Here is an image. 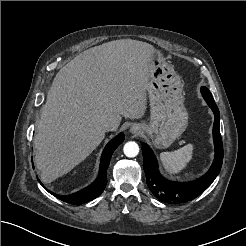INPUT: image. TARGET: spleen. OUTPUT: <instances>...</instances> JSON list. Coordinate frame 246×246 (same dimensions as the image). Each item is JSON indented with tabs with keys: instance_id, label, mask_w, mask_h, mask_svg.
Instances as JSON below:
<instances>
[{
	"instance_id": "obj_1",
	"label": "spleen",
	"mask_w": 246,
	"mask_h": 246,
	"mask_svg": "<svg viewBox=\"0 0 246 246\" xmlns=\"http://www.w3.org/2000/svg\"><path fill=\"white\" fill-rule=\"evenodd\" d=\"M193 150L194 145L187 144L178 150L160 153L159 158L165 171L170 175L182 172L191 161Z\"/></svg>"
}]
</instances>
